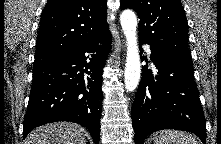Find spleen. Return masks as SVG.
<instances>
[{"label":"spleen","mask_w":221,"mask_h":144,"mask_svg":"<svg viewBox=\"0 0 221 144\" xmlns=\"http://www.w3.org/2000/svg\"><path fill=\"white\" fill-rule=\"evenodd\" d=\"M154 144H198V141L190 133L164 130L156 134Z\"/></svg>","instance_id":"spleen-1"}]
</instances>
